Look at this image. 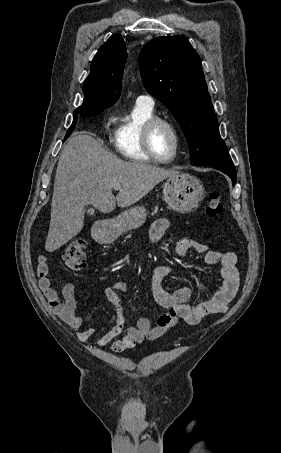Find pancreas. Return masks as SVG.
Returning <instances> with one entry per match:
<instances>
[{"instance_id":"cf45deb5","label":"pancreas","mask_w":281,"mask_h":453,"mask_svg":"<svg viewBox=\"0 0 281 453\" xmlns=\"http://www.w3.org/2000/svg\"><path fill=\"white\" fill-rule=\"evenodd\" d=\"M158 208L156 206V208H154V212H152V214H155V212H157Z\"/></svg>"}]
</instances>
